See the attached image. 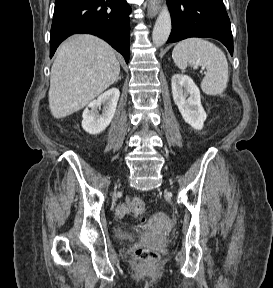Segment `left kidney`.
Listing matches in <instances>:
<instances>
[{
  "label": "left kidney",
  "instance_id": "obj_1",
  "mask_svg": "<svg viewBox=\"0 0 273 288\" xmlns=\"http://www.w3.org/2000/svg\"><path fill=\"white\" fill-rule=\"evenodd\" d=\"M172 95L184 121L192 128L201 130L206 113L201 105L200 90L193 80L183 74H175L171 79Z\"/></svg>",
  "mask_w": 273,
  "mask_h": 288
}]
</instances>
